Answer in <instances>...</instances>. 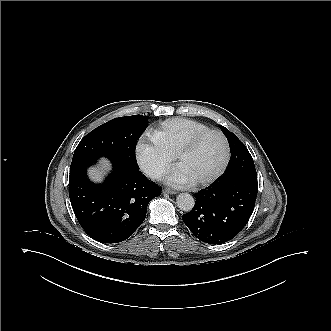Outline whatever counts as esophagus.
I'll list each match as a JSON object with an SVG mask.
<instances>
[{
	"label": "esophagus",
	"instance_id": "1",
	"mask_svg": "<svg viewBox=\"0 0 331 331\" xmlns=\"http://www.w3.org/2000/svg\"><path fill=\"white\" fill-rule=\"evenodd\" d=\"M162 193L163 194H172L173 195V194H176L177 191L165 188V189H163Z\"/></svg>",
	"mask_w": 331,
	"mask_h": 331
}]
</instances>
